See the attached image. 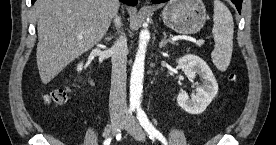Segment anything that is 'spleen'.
<instances>
[{
  "mask_svg": "<svg viewBox=\"0 0 276 145\" xmlns=\"http://www.w3.org/2000/svg\"><path fill=\"white\" fill-rule=\"evenodd\" d=\"M213 22L215 48L211 58L216 68L224 72L232 56L234 22L231 12L220 0L214 1Z\"/></svg>",
  "mask_w": 276,
  "mask_h": 145,
  "instance_id": "spleen-1",
  "label": "spleen"
}]
</instances>
